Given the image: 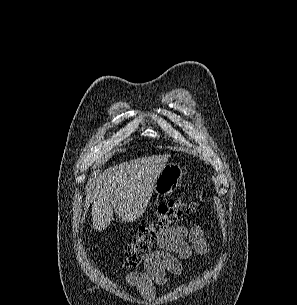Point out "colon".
Listing matches in <instances>:
<instances>
[{
  "mask_svg": "<svg viewBox=\"0 0 297 305\" xmlns=\"http://www.w3.org/2000/svg\"><path fill=\"white\" fill-rule=\"evenodd\" d=\"M194 203L182 199L171 200L159 206L155 217L140 226L123 250V266L133 269L143 262L152 252L159 234L174 227L186 216L195 211Z\"/></svg>",
  "mask_w": 297,
  "mask_h": 305,
  "instance_id": "obj_1",
  "label": "colon"
}]
</instances>
